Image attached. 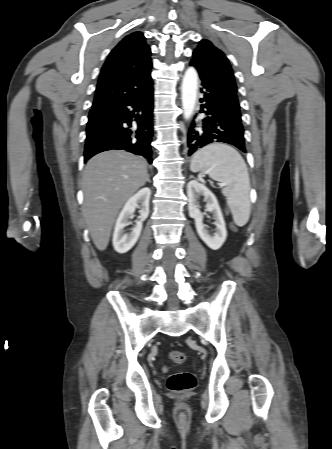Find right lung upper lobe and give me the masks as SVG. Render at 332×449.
<instances>
[{"label":"right lung upper lobe","instance_id":"1","mask_svg":"<svg viewBox=\"0 0 332 449\" xmlns=\"http://www.w3.org/2000/svg\"><path fill=\"white\" fill-rule=\"evenodd\" d=\"M150 54L141 32L126 36L111 51L101 69L92 107L146 94L152 88Z\"/></svg>","mask_w":332,"mask_h":449}]
</instances>
